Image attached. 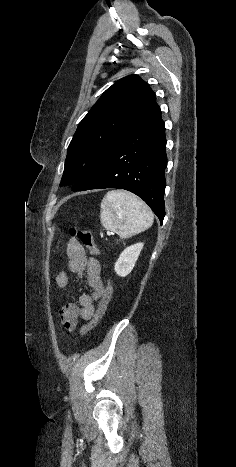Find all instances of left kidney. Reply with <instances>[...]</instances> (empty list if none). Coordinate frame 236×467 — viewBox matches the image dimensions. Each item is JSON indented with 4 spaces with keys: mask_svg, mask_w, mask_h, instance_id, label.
Wrapping results in <instances>:
<instances>
[{
    "mask_svg": "<svg viewBox=\"0 0 236 467\" xmlns=\"http://www.w3.org/2000/svg\"><path fill=\"white\" fill-rule=\"evenodd\" d=\"M142 248L143 243H137L123 250L114 266L118 276L125 277L133 270Z\"/></svg>",
    "mask_w": 236,
    "mask_h": 467,
    "instance_id": "left-kidney-1",
    "label": "left kidney"
}]
</instances>
